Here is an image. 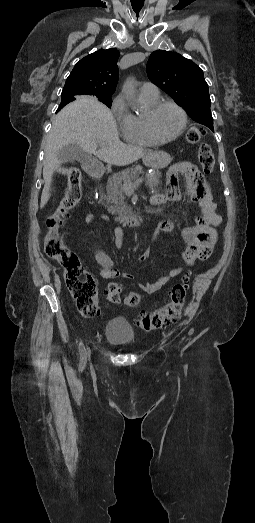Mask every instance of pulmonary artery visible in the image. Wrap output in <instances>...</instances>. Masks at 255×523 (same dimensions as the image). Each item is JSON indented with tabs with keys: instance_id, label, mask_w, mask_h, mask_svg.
I'll return each instance as SVG.
<instances>
[{
	"instance_id": "pulmonary-artery-1",
	"label": "pulmonary artery",
	"mask_w": 255,
	"mask_h": 523,
	"mask_svg": "<svg viewBox=\"0 0 255 523\" xmlns=\"http://www.w3.org/2000/svg\"><path fill=\"white\" fill-rule=\"evenodd\" d=\"M140 93L144 95L158 97L160 91L156 85L149 82H145L140 88Z\"/></svg>"
}]
</instances>
